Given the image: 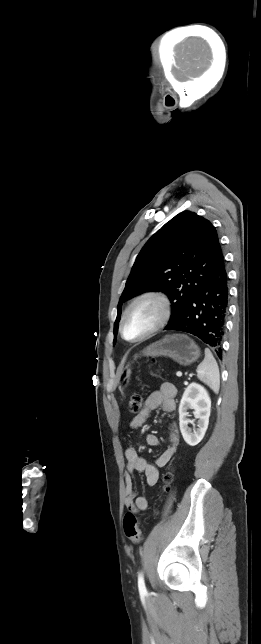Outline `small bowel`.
<instances>
[{"mask_svg": "<svg viewBox=\"0 0 261 644\" xmlns=\"http://www.w3.org/2000/svg\"><path fill=\"white\" fill-rule=\"evenodd\" d=\"M177 390L171 383H163L157 390H154L146 399L144 408L137 414L130 422L131 429H138L143 426L149 418L152 411L161 407L165 413H173L176 410V397ZM146 442L150 446H158L160 440L156 434L149 433L146 436ZM179 444L178 429L175 424H172L169 429V445L157 457L156 464H149L143 457H141L135 448L129 447L125 451L127 460L126 472L124 475L125 481V498L124 504L131 512L145 511L148 508V501L146 497L139 496L134 484V474L142 472L145 475L146 483L149 486H154L159 480V468L164 467L173 457Z\"/></svg>", "mask_w": 261, "mask_h": 644, "instance_id": "c3829d8e", "label": "small bowel"}]
</instances>
